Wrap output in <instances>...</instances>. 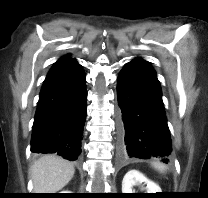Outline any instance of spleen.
Returning <instances> with one entry per match:
<instances>
[{"instance_id":"spleen-1","label":"spleen","mask_w":208,"mask_h":198,"mask_svg":"<svg viewBox=\"0 0 208 198\" xmlns=\"http://www.w3.org/2000/svg\"><path fill=\"white\" fill-rule=\"evenodd\" d=\"M152 166L161 173H164L167 170L166 166L161 163L155 162L152 163Z\"/></svg>"}]
</instances>
